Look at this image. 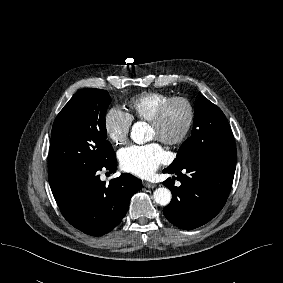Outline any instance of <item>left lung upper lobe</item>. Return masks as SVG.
<instances>
[{"label":"left lung upper lobe","mask_w":283,"mask_h":283,"mask_svg":"<svg viewBox=\"0 0 283 283\" xmlns=\"http://www.w3.org/2000/svg\"><path fill=\"white\" fill-rule=\"evenodd\" d=\"M234 151L235 141L224 113L202 96L195 105L192 135L181 145L169 167Z\"/></svg>","instance_id":"1"}]
</instances>
